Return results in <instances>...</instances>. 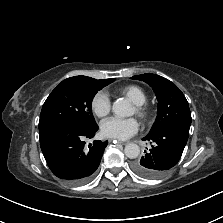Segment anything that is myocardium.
Here are the masks:
<instances>
[{"mask_svg":"<svg viewBox=\"0 0 223 223\" xmlns=\"http://www.w3.org/2000/svg\"><path fill=\"white\" fill-rule=\"evenodd\" d=\"M135 114L143 121H149L153 116V107L148 103L134 104Z\"/></svg>","mask_w":223,"mask_h":223,"instance_id":"obj_1","label":"myocardium"}]
</instances>
